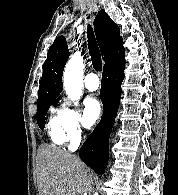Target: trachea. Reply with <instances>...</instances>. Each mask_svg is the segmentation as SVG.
<instances>
[{
  "mask_svg": "<svg viewBox=\"0 0 178 195\" xmlns=\"http://www.w3.org/2000/svg\"><path fill=\"white\" fill-rule=\"evenodd\" d=\"M87 34H88L87 37H88L89 52H90L93 67L96 71H101L102 70L101 54L93 30L90 25H88Z\"/></svg>",
  "mask_w": 178,
  "mask_h": 195,
  "instance_id": "3493384b",
  "label": "trachea"
}]
</instances>
